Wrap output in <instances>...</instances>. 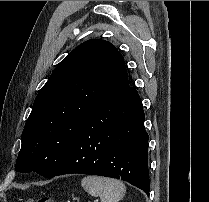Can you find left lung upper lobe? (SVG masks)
<instances>
[{
	"label": "left lung upper lobe",
	"instance_id": "1",
	"mask_svg": "<svg viewBox=\"0 0 209 202\" xmlns=\"http://www.w3.org/2000/svg\"><path fill=\"white\" fill-rule=\"evenodd\" d=\"M129 88L121 53L91 39L72 50L35 98L23 133L16 171L51 178L87 118Z\"/></svg>",
	"mask_w": 209,
	"mask_h": 202
}]
</instances>
